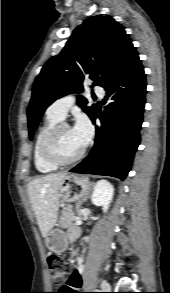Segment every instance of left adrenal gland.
I'll return each instance as SVG.
<instances>
[{"label": "left adrenal gland", "instance_id": "obj_1", "mask_svg": "<svg viewBox=\"0 0 170 293\" xmlns=\"http://www.w3.org/2000/svg\"><path fill=\"white\" fill-rule=\"evenodd\" d=\"M91 186H93V184H92ZM88 194H89V193H88ZM88 194L83 198V200L79 203L78 206H80L82 203H84V202L87 201V199H88V197H89Z\"/></svg>", "mask_w": 170, "mask_h": 293}]
</instances>
